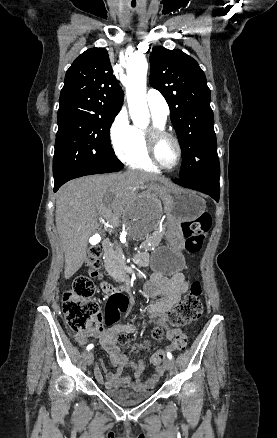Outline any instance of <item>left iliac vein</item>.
Instances as JSON below:
<instances>
[{"instance_id":"obj_1","label":"left iliac vein","mask_w":277,"mask_h":438,"mask_svg":"<svg viewBox=\"0 0 277 438\" xmlns=\"http://www.w3.org/2000/svg\"><path fill=\"white\" fill-rule=\"evenodd\" d=\"M172 366H173V363H172V361L170 359H166L164 361V367H165L166 370H168V371L171 370Z\"/></svg>"}]
</instances>
